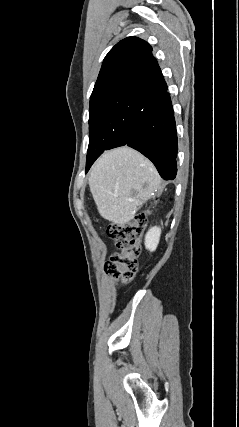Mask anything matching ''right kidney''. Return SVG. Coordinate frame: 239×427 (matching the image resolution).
Returning <instances> with one entry per match:
<instances>
[{
	"instance_id": "ca27d5eb",
	"label": "right kidney",
	"mask_w": 239,
	"mask_h": 427,
	"mask_svg": "<svg viewBox=\"0 0 239 427\" xmlns=\"http://www.w3.org/2000/svg\"><path fill=\"white\" fill-rule=\"evenodd\" d=\"M161 235V228L152 227L145 236V247L149 251L153 252L156 250Z\"/></svg>"
}]
</instances>
